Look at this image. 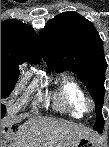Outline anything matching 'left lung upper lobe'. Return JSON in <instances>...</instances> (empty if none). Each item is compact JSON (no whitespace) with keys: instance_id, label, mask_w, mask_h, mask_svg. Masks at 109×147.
I'll list each match as a JSON object with an SVG mask.
<instances>
[{"instance_id":"5c2ea615","label":"left lung upper lobe","mask_w":109,"mask_h":147,"mask_svg":"<svg viewBox=\"0 0 109 147\" xmlns=\"http://www.w3.org/2000/svg\"><path fill=\"white\" fill-rule=\"evenodd\" d=\"M41 51L54 70L69 69L86 85L96 102V129H103L102 105L107 62L103 42L92 22L76 12L51 19L40 33Z\"/></svg>"}]
</instances>
